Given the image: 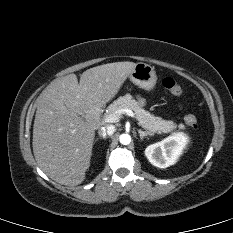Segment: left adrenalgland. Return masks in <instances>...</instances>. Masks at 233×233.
<instances>
[{
	"label": "left adrenal gland",
	"mask_w": 233,
	"mask_h": 233,
	"mask_svg": "<svg viewBox=\"0 0 233 233\" xmlns=\"http://www.w3.org/2000/svg\"><path fill=\"white\" fill-rule=\"evenodd\" d=\"M138 133H139V136H140V139H141V140H143L144 137H146V136H148V135H149V136H152L151 133L142 131L141 129L138 130Z\"/></svg>",
	"instance_id": "obj_1"
}]
</instances>
